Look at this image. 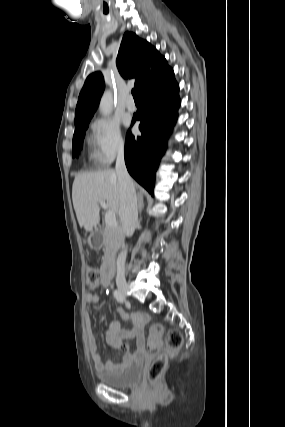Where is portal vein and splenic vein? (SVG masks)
<instances>
[{
  "label": "portal vein and splenic vein",
  "mask_w": 285,
  "mask_h": 427,
  "mask_svg": "<svg viewBox=\"0 0 285 427\" xmlns=\"http://www.w3.org/2000/svg\"><path fill=\"white\" fill-rule=\"evenodd\" d=\"M99 204L102 208L107 210V205L104 200H99ZM105 222L107 226L115 227L117 226L116 214L113 211L107 210L105 214Z\"/></svg>",
  "instance_id": "portal-vein-and-splenic-vein-1"
}]
</instances>
